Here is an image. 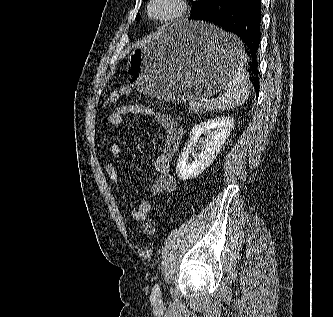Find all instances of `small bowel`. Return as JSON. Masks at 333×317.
Segmentation results:
<instances>
[{"mask_svg":"<svg viewBox=\"0 0 333 317\" xmlns=\"http://www.w3.org/2000/svg\"><path fill=\"white\" fill-rule=\"evenodd\" d=\"M129 115L150 116L163 128L165 141L160 154L154 161L157 176L150 187V193L155 197L173 192L176 189V181L170 173V163L182 139L181 127L168 115L140 104H124L116 107L107 116L106 122L110 126H119L124 118ZM110 154L119 158L122 155V147L113 143L110 146ZM105 170L111 182L116 187H120V176L115 165L107 163ZM153 207V201H143L137 207H130L129 215L136 221L144 222Z\"/></svg>","mask_w":333,"mask_h":317,"instance_id":"small-bowel-1","label":"small bowel"}]
</instances>
